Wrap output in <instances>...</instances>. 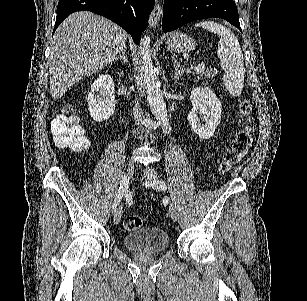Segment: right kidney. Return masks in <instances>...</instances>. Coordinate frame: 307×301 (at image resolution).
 <instances>
[{"mask_svg": "<svg viewBox=\"0 0 307 301\" xmlns=\"http://www.w3.org/2000/svg\"><path fill=\"white\" fill-rule=\"evenodd\" d=\"M121 74H118V78ZM113 76L99 74L88 92V110L97 122L108 120L115 110V88Z\"/></svg>", "mask_w": 307, "mask_h": 301, "instance_id": "obj_1", "label": "right kidney"}]
</instances>
